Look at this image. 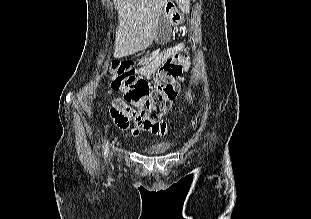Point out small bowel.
<instances>
[{
  "label": "small bowel",
  "instance_id": "obj_1",
  "mask_svg": "<svg viewBox=\"0 0 311 219\" xmlns=\"http://www.w3.org/2000/svg\"><path fill=\"white\" fill-rule=\"evenodd\" d=\"M184 50L185 45L183 43L174 45L164 50L150 63L143 65L139 71L145 76L151 75L166 59ZM110 114L115 124L120 129L130 130L134 135H138L140 131H147L153 135L163 137L169 132L168 124L165 121L150 122L143 118L134 108L119 100H114L112 102ZM186 115H190V111H188Z\"/></svg>",
  "mask_w": 311,
  "mask_h": 219
}]
</instances>
